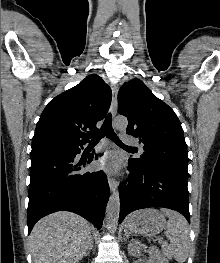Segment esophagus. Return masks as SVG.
Wrapping results in <instances>:
<instances>
[{"label": "esophagus", "instance_id": "34e87169", "mask_svg": "<svg viewBox=\"0 0 220 263\" xmlns=\"http://www.w3.org/2000/svg\"><path fill=\"white\" fill-rule=\"evenodd\" d=\"M117 95H118V85H113L112 86V102H111L112 117H114L117 113ZM108 184L112 192H115L117 190L118 183L115 180V178L108 176Z\"/></svg>", "mask_w": 220, "mask_h": 263}]
</instances>
